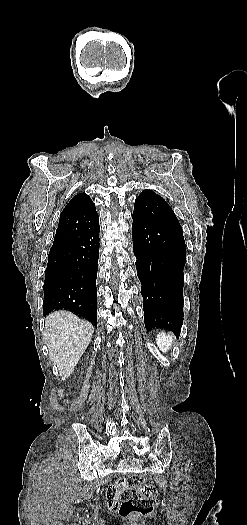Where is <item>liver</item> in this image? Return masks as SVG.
Listing matches in <instances>:
<instances>
[{"label": "liver", "mask_w": 247, "mask_h": 525, "mask_svg": "<svg viewBox=\"0 0 247 525\" xmlns=\"http://www.w3.org/2000/svg\"><path fill=\"white\" fill-rule=\"evenodd\" d=\"M94 333L88 321L69 311H55L45 319L44 343L52 361L53 373L63 381L72 375Z\"/></svg>", "instance_id": "6515ba94"}]
</instances>
